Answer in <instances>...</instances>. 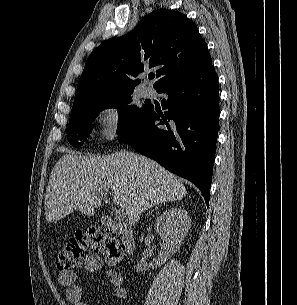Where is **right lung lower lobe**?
I'll use <instances>...</instances> for the list:
<instances>
[{"label":"right lung lower lobe","mask_w":297,"mask_h":305,"mask_svg":"<svg viewBox=\"0 0 297 305\" xmlns=\"http://www.w3.org/2000/svg\"><path fill=\"white\" fill-rule=\"evenodd\" d=\"M165 94L162 113L153 105L118 139L188 179L209 203L219 127V87L214 67L156 89Z\"/></svg>","instance_id":"1"}]
</instances>
